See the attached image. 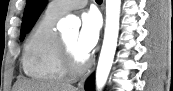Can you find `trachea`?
I'll list each match as a JSON object with an SVG mask.
<instances>
[{
    "label": "trachea",
    "instance_id": "3493384b",
    "mask_svg": "<svg viewBox=\"0 0 173 91\" xmlns=\"http://www.w3.org/2000/svg\"><path fill=\"white\" fill-rule=\"evenodd\" d=\"M97 3H102V0H96Z\"/></svg>",
    "mask_w": 173,
    "mask_h": 91
}]
</instances>
